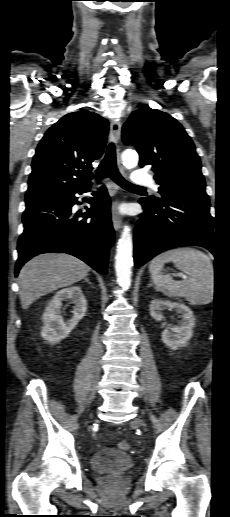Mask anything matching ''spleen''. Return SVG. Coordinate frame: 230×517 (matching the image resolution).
Segmentation results:
<instances>
[{
  "mask_svg": "<svg viewBox=\"0 0 230 517\" xmlns=\"http://www.w3.org/2000/svg\"><path fill=\"white\" fill-rule=\"evenodd\" d=\"M173 262L188 278L175 281L170 275H162L165 263ZM149 271L154 285L168 297H182L191 304H208L214 296V268L210 258L193 248H177L155 257Z\"/></svg>",
  "mask_w": 230,
  "mask_h": 517,
  "instance_id": "spleen-1",
  "label": "spleen"
}]
</instances>
